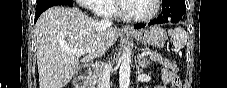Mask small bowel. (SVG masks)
I'll use <instances>...</instances> for the list:
<instances>
[{
	"instance_id": "obj_1",
	"label": "small bowel",
	"mask_w": 227,
	"mask_h": 88,
	"mask_svg": "<svg viewBox=\"0 0 227 88\" xmlns=\"http://www.w3.org/2000/svg\"><path fill=\"white\" fill-rule=\"evenodd\" d=\"M175 81L179 82V79L171 71L163 69L161 71V77L159 81L155 84V88H163L164 85L168 82L174 83Z\"/></svg>"
}]
</instances>
